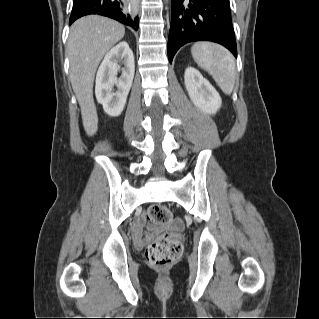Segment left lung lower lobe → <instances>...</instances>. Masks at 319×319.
<instances>
[{"instance_id":"left-lung-lower-lobe-1","label":"left lung lower lobe","mask_w":319,"mask_h":319,"mask_svg":"<svg viewBox=\"0 0 319 319\" xmlns=\"http://www.w3.org/2000/svg\"><path fill=\"white\" fill-rule=\"evenodd\" d=\"M171 8L170 63L181 46L194 41L219 43L237 57L229 0H171Z\"/></svg>"}]
</instances>
